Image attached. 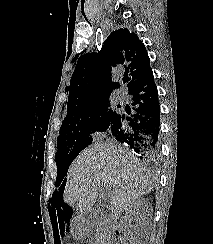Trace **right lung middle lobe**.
<instances>
[{"label":"right lung middle lobe","mask_w":213,"mask_h":244,"mask_svg":"<svg viewBox=\"0 0 213 244\" xmlns=\"http://www.w3.org/2000/svg\"><path fill=\"white\" fill-rule=\"evenodd\" d=\"M116 114L110 107L109 96L67 109L57 139L56 186L62 182L71 161L92 143L90 134L95 131H106Z\"/></svg>","instance_id":"obj_1"}]
</instances>
